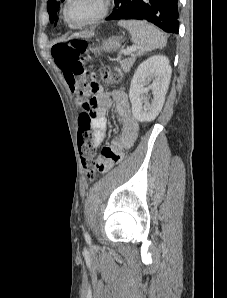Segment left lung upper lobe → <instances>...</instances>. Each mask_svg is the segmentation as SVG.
<instances>
[{"label": "left lung upper lobe", "instance_id": "obj_1", "mask_svg": "<svg viewBox=\"0 0 227 298\" xmlns=\"http://www.w3.org/2000/svg\"><path fill=\"white\" fill-rule=\"evenodd\" d=\"M63 1L64 0H48L47 11L49 13L51 23L54 21L57 22V12L60 8V3Z\"/></svg>", "mask_w": 227, "mask_h": 298}]
</instances>
